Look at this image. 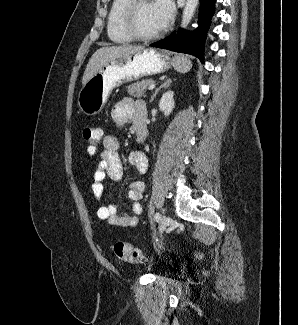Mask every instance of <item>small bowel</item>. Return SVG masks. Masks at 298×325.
Returning <instances> with one entry per match:
<instances>
[{
	"label": "small bowel",
	"instance_id": "obj_1",
	"mask_svg": "<svg viewBox=\"0 0 298 325\" xmlns=\"http://www.w3.org/2000/svg\"><path fill=\"white\" fill-rule=\"evenodd\" d=\"M138 102L131 98H123L112 109V118L119 127L126 125L132 120L133 109ZM103 150L99 155L98 167L93 175L92 192L95 198L100 202L103 193V180L106 176L114 181H120L122 178V164L118 154L120 139L115 134H108L102 138ZM129 163L135 167L141 174H144L148 168V159L141 151H132L128 155ZM144 191L142 181H134L129 187V197L133 201L132 213H119L115 204L102 205L97 211L100 219L106 220L109 224L119 227H133L139 222L143 212L140 203Z\"/></svg>",
	"mask_w": 298,
	"mask_h": 325
}]
</instances>
